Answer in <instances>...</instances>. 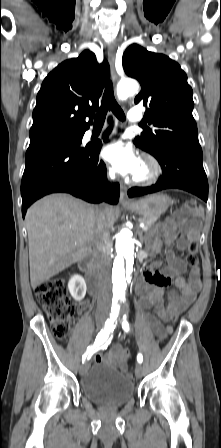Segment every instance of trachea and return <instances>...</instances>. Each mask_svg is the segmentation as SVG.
Masks as SVG:
<instances>
[{
  "label": "trachea",
  "mask_w": 221,
  "mask_h": 448,
  "mask_svg": "<svg viewBox=\"0 0 221 448\" xmlns=\"http://www.w3.org/2000/svg\"><path fill=\"white\" fill-rule=\"evenodd\" d=\"M108 109H110L119 120L125 121V114L114 97L112 81H109L106 85L101 107L95 116L94 125L102 126L104 124Z\"/></svg>",
  "instance_id": "trachea-1"
}]
</instances>
